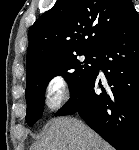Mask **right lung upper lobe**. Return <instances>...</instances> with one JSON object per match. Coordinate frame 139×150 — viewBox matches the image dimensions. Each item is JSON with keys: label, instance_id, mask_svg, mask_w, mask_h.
Listing matches in <instances>:
<instances>
[{"label": "right lung upper lobe", "instance_id": "cb5924a9", "mask_svg": "<svg viewBox=\"0 0 139 150\" xmlns=\"http://www.w3.org/2000/svg\"><path fill=\"white\" fill-rule=\"evenodd\" d=\"M133 10L131 0H58L29 29L26 77L53 59L98 52Z\"/></svg>", "mask_w": 139, "mask_h": 150}]
</instances>
